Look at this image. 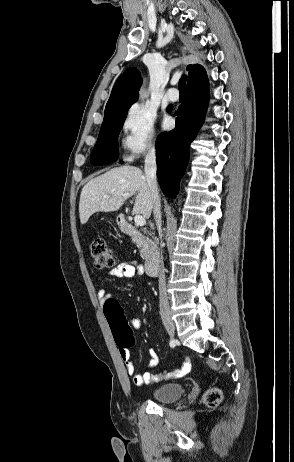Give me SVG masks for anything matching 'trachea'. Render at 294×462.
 I'll use <instances>...</instances> for the list:
<instances>
[{"mask_svg": "<svg viewBox=\"0 0 294 462\" xmlns=\"http://www.w3.org/2000/svg\"><path fill=\"white\" fill-rule=\"evenodd\" d=\"M186 80H187V76L186 75H182L180 81H179V90L180 91H184L185 92V83H186Z\"/></svg>", "mask_w": 294, "mask_h": 462, "instance_id": "3493384b", "label": "trachea"}]
</instances>
